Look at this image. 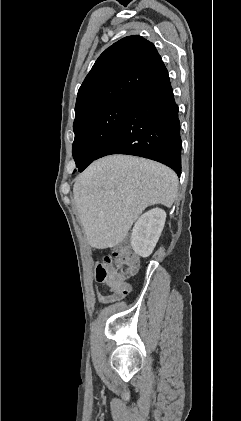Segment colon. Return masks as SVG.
Wrapping results in <instances>:
<instances>
[{
  "instance_id": "5ec220e1",
  "label": "colon",
  "mask_w": 241,
  "mask_h": 421,
  "mask_svg": "<svg viewBox=\"0 0 241 421\" xmlns=\"http://www.w3.org/2000/svg\"><path fill=\"white\" fill-rule=\"evenodd\" d=\"M138 266L137 257L125 247L115 248L104 257L96 268V279L113 287L126 288V279L133 275Z\"/></svg>"
}]
</instances>
